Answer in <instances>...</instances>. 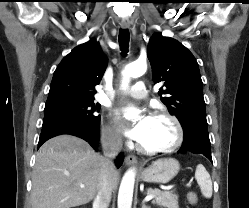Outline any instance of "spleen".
Instances as JSON below:
<instances>
[{"mask_svg": "<svg viewBox=\"0 0 249 208\" xmlns=\"http://www.w3.org/2000/svg\"><path fill=\"white\" fill-rule=\"evenodd\" d=\"M195 178L200 186L201 193L206 198L212 196V181L209 173L202 164L197 165L195 171Z\"/></svg>", "mask_w": 249, "mask_h": 208, "instance_id": "1", "label": "spleen"}]
</instances>
